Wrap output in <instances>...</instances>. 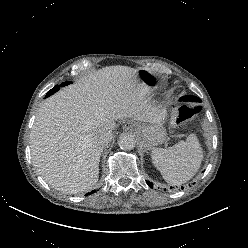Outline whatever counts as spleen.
Wrapping results in <instances>:
<instances>
[{"label":"spleen","mask_w":248,"mask_h":248,"mask_svg":"<svg viewBox=\"0 0 248 248\" xmlns=\"http://www.w3.org/2000/svg\"><path fill=\"white\" fill-rule=\"evenodd\" d=\"M152 162L164 180L172 185H181L190 180L199 170L203 152L195 134L169 148H153Z\"/></svg>","instance_id":"obj_1"}]
</instances>
